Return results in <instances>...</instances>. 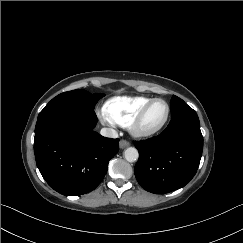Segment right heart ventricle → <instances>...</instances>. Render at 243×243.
<instances>
[{
    "label": "right heart ventricle",
    "mask_w": 243,
    "mask_h": 243,
    "mask_svg": "<svg viewBox=\"0 0 243 243\" xmlns=\"http://www.w3.org/2000/svg\"><path fill=\"white\" fill-rule=\"evenodd\" d=\"M151 100L146 96L114 97L105 103L104 113L111 122L128 127L143 106Z\"/></svg>",
    "instance_id": "e07e8e85"
}]
</instances>
